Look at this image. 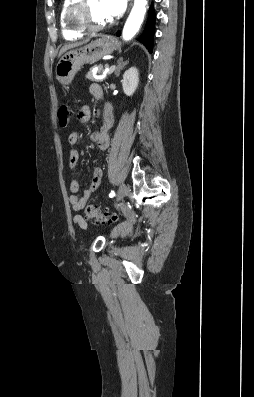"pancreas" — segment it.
Returning a JSON list of instances; mask_svg holds the SVG:
<instances>
[{
    "mask_svg": "<svg viewBox=\"0 0 254 397\" xmlns=\"http://www.w3.org/2000/svg\"><path fill=\"white\" fill-rule=\"evenodd\" d=\"M108 67H109L108 65H105V66H103V65H98V66H97V73H98V74L102 73V72L104 71V68H108ZM86 78H87L88 80H90V81H96V82L99 81V79H97V78L95 77V75L93 74V70H92V69H90V71L86 74Z\"/></svg>",
    "mask_w": 254,
    "mask_h": 397,
    "instance_id": "1",
    "label": "pancreas"
}]
</instances>
